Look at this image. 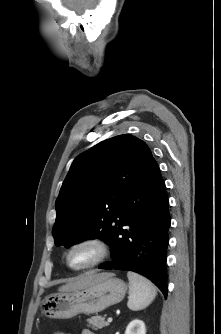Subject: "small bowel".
Instances as JSON below:
<instances>
[{
	"mask_svg": "<svg viewBox=\"0 0 221 334\" xmlns=\"http://www.w3.org/2000/svg\"><path fill=\"white\" fill-rule=\"evenodd\" d=\"M54 334H67V333H64V332H56ZM81 334H94L91 330L89 329H84L82 330Z\"/></svg>",
	"mask_w": 221,
	"mask_h": 334,
	"instance_id": "obj_1",
	"label": "small bowel"
}]
</instances>
